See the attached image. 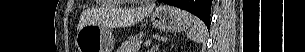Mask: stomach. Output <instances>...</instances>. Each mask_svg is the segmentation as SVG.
<instances>
[{"label":"stomach","mask_w":305,"mask_h":52,"mask_svg":"<svg viewBox=\"0 0 305 52\" xmlns=\"http://www.w3.org/2000/svg\"><path fill=\"white\" fill-rule=\"evenodd\" d=\"M150 18L156 29L172 33L185 31L194 22L189 12L169 5L156 7ZM76 46L79 52H111L114 47V37L107 28L88 24L77 32Z\"/></svg>","instance_id":"obj_1"}]
</instances>
